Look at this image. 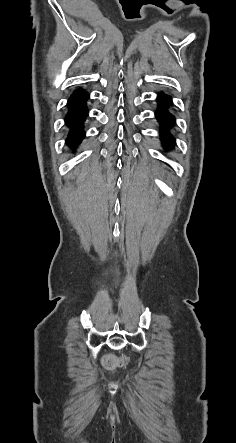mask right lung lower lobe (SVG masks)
Masks as SVG:
<instances>
[{"label": "right lung lower lobe", "instance_id": "98d812e1", "mask_svg": "<svg viewBox=\"0 0 236 443\" xmlns=\"http://www.w3.org/2000/svg\"><path fill=\"white\" fill-rule=\"evenodd\" d=\"M88 98L89 96L85 90L77 89L72 93L67 102L68 112L65 117V123L69 128V132L66 143L70 148L76 147L85 137L83 122L88 113L86 106Z\"/></svg>", "mask_w": 236, "mask_h": 443}]
</instances>
